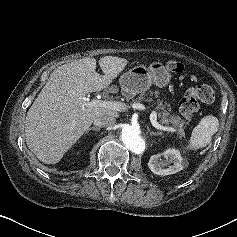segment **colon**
Returning <instances> with one entry per match:
<instances>
[{
    "instance_id": "obj_1",
    "label": "colon",
    "mask_w": 237,
    "mask_h": 237,
    "mask_svg": "<svg viewBox=\"0 0 237 237\" xmlns=\"http://www.w3.org/2000/svg\"><path fill=\"white\" fill-rule=\"evenodd\" d=\"M167 68L170 72L175 74H182L185 69L184 65L177 61H169L167 63ZM214 99L215 92L208 85H199L190 88L180 100V113L187 122H192L195 113L199 110V101L203 103H212Z\"/></svg>"
}]
</instances>
